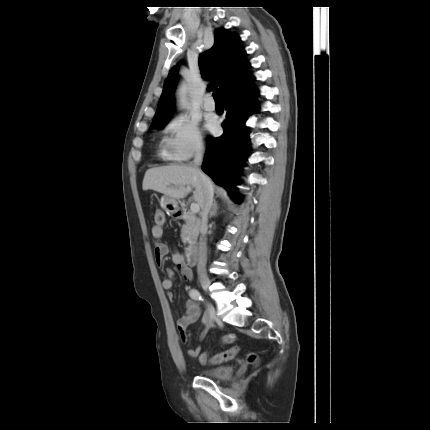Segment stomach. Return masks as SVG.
Returning a JSON list of instances; mask_svg holds the SVG:
<instances>
[{
  "label": "stomach",
  "mask_w": 430,
  "mask_h": 430,
  "mask_svg": "<svg viewBox=\"0 0 430 430\" xmlns=\"http://www.w3.org/2000/svg\"><path fill=\"white\" fill-rule=\"evenodd\" d=\"M161 206L167 212H172L173 209H175L174 200L172 198H169V197L163 198Z\"/></svg>",
  "instance_id": "1"
}]
</instances>
